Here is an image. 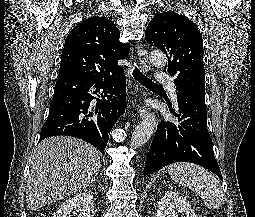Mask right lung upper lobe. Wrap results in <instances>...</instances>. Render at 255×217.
<instances>
[{
  "mask_svg": "<svg viewBox=\"0 0 255 217\" xmlns=\"http://www.w3.org/2000/svg\"><path fill=\"white\" fill-rule=\"evenodd\" d=\"M119 38L115 24L103 17L76 25L65 40L58 80L103 79L124 73L117 62L129 53V44Z\"/></svg>",
  "mask_w": 255,
  "mask_h": 217,
  "instance_id": "1",
  "label": "right lung upper lobe"
}]
</instances>
